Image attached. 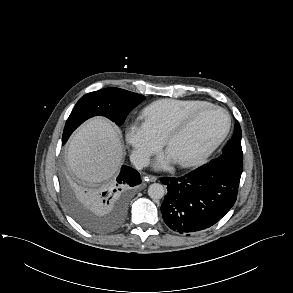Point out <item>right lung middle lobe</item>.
Masks as SVG:
<instances>
[{
  "instance_id": "dd1d6c3e",
  "label": "right lung middle lobe",
  "mask_w": 293,
  "mask_h": 293,
  "mask_svg": "<svg viewBox=\"0 0 293 293\" xmlns=\"http://www.w3.org/2000/svg\"><path fill=\"white\" fill-rule=\"evenodd\" d=\"M144 99L143 95L119 88H105L84 95L66 121L62 144L81 123L93 116H105L122 125L128 113ZM62 191L70 213L83 227L94 232H106L114 227L112 216L93 211L83 200L81 188L74 183L64 181Z\"/></svg>"
}]
</instances>
